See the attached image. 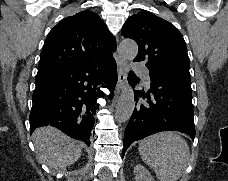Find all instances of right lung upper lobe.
I'll use <instances>...</instances> for the list:
<instances>
[{"label":"right lung upper lobe","instance_id":"1","mask_svg":"<svg viewBox=\"0 0 228 181\" xmlns=\"http://www.w3.org/2000/svg\"><path fill=\"white\" fill-rule=\"evenodd\" d=\"M116 42L100 17L89 10L60 21L48 34L38 74L111 56Z\"/></svg>","mask_w":228,"mask_h":181}]
</instances>
